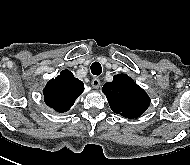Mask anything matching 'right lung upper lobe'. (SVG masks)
<instances>
[{"label": "right lung upper lobe", "mask_w": 190, "mask_h": 165, "mask_svg": "<svg viewBox=\"0 0 190 165\" xmlns=\"http://www.w3.org/2000/svg\"><path fill=\"white\" fill-rule=\"evenodd\" d=\"M83 91V82L75 78L69 70H63L46 84L43 90L44 101L55 111L66 112Z\"/></svg>", "instance_id": "cb5924a9"}]
</instances>
